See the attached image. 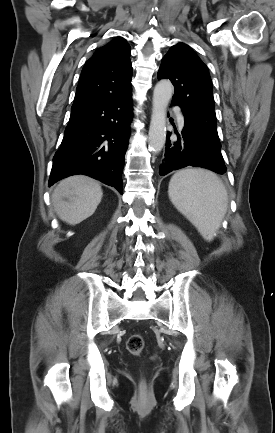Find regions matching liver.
Masks as SVG:
<instances>
[{
  "label": "liver",
  "mask_w": 275,
  "mask_h": 433,
  "mask_svg": "<svg viewBox=\"0 0 275 433\" xmlns=\"http://www.w3.org/2000/svg\"><path fill=\"white\" fill-rule=\"evenodd\" d=\"M100 184L84 175L63 179L54 189L51 201L58 217L76 225L93 215L101 202Z\"/></svg>",
  "instance_id": "6515ba94"
}]
</instances>
